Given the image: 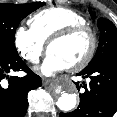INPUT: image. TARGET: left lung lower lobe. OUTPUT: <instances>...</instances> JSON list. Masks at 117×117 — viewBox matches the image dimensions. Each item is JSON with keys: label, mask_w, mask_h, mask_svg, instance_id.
Instances as JSON below:
<instances>
[{"label": "left lung lower lobe", "mask_w": 117, "mask_h": 117, "mask_svg": "<svg viewBox=\"0 0 117 117\" xmlns=\"http://www.w3.org/2000/svg\"><path fill=\"white\" fill-rule=\"evenodd\" d=\"M77 75L90 78L84 82L85 92L80 94V104L71 113H60V117H112L117 111V51L90 69ZM80 90L79 83H76Z\"/></svg>", "instance_id": "1"}]
</instances>
